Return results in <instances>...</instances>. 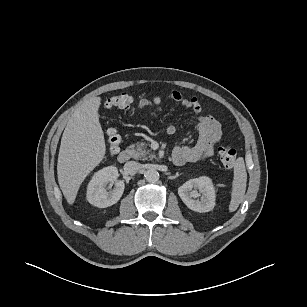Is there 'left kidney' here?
Segmentation results:
<instances>
[{
    "label": "left kidney",
    "instance_id": "left-kidney-1",
    "mask_svg": "<svg viewBox=\"0 0 307 307\" xmlns=\"http://www.w3.org/2000/svg\"><path fill=\"white\" fill-rule=\"evenodd\" d=\"M215 192L212 180L206 176L190 179L178 188V194L186 206L199 213L213 210Z\"/></svg>",
    "mask_w": 307,
    "mask_h": 307
}]
</instances>
